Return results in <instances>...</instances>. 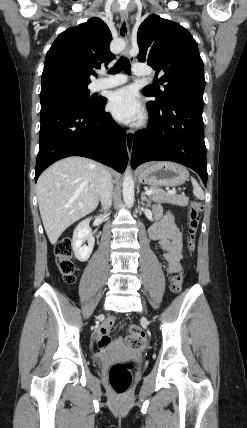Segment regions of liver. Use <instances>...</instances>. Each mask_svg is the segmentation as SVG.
Instances as JSON below:
<instances>
[{
    "mask_svg": "<svg viewBox=\"0 0 247 428\" xmlns=\"http://www.w3.org/2000/svg\"><path fill=\"white\" fill-rule=\"evenodd\" d=\"M102 166L90 159L69 157L45 170L37 181L43 226L51 244L73 223L96 209Z\"/></svg>",
    "mask_w": 247,
    "mask_h": 428,
    "instance_id": "obj_1",
    "label": "liver"
}]
</instances>
